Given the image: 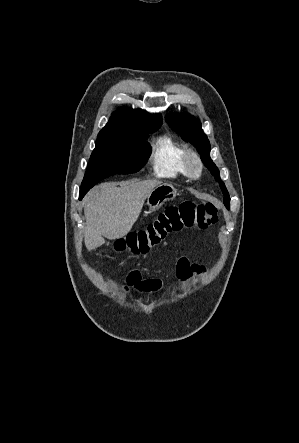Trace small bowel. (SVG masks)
I'll return each mask as SVG.
<instances>
[{"label":"small bowel","mask_w":299,"mask_h":443,"mask_svg":"<svg viewBox=\"0 0 299 443\" xmlns=\"http://www.w3.org/2000/svg\"><path fill=\"white\" fill-rule=\"evenodd\" d=\"M203 270L195 265H191L186 257H180L176 264V275L181 284L190 282L193 275L202 274ZM161 280L154 277H143L137 270L132 271L127 279L125 290L133 288L137 292L154 293L160 290Z\"/></svg>","instance_id":"1"}]
</instances>
